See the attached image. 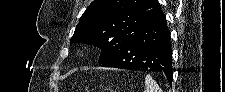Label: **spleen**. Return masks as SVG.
Here are the masks:
<instances>
[{
  "mask_svg": "<svg viewBox=\"0 0 225 92\" xmlns=\"http://www.w3.org/2000/svg\"><path fill=\"white\" fill-rule=\"evenodd\" d=\"M144 92H162L159 85L153 80L151 75L145 77V89Z\"/></svg>",
  "mask_w": 225,
  "mask_h": 92,
  "instance_id": "1",
  "label": "spleen"
}]
</instances>
